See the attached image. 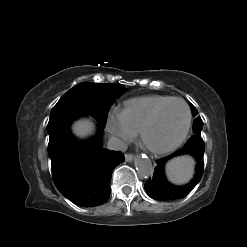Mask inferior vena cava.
Wrapping results in <instances>:
<instances>
[{
	"mask_svg": "<svg viewBox=\"0 0 247 247\" xmlns=\"http://www.w3.org/2000/svg\"><path fill=\"white\" fill-rule=\"evenodd\" d=\"M107 147L110 150L122 151L125 152L127 150V144L117 138V137H110L107 143Z\"/></svg>",
	"mask_w": 247,
	"mask_h": 247,
	"instance_id": "602c4592",
	"label": "inferior vena cava"
}]
</instances>
